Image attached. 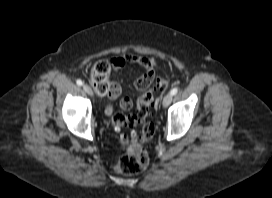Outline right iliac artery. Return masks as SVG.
<instances>
[{"mask_svg":"<svg viewBox=\"0 0 272 198\" xmlns=\"http://www.w3.org/2000/svg\"><path fill=\"white\" fill-rule=\"evenodd\" d=\"M76 83H77V85H79V86L83 85V82H82L81 80H77Z\"/></svg>","mask_w":272,"mask_h":198,"instance_id":"obj_1","label":"right iliac artery"}]
</instances>
